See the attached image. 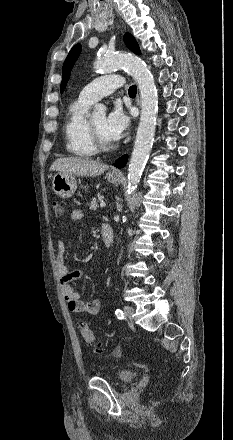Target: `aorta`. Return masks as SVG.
<instances>
[{"label":"aorta","instance_id":"obj_1","mask_svg":"<svg viewBox=\"0 0 233 440\" xmlns=\"http://www.w3.org/2000/svg\"><path fill=\"white\" fill-rule=\"evenodd\" d=\"M95 69L101 73L124 69L134 78L139 87L141 116L128 169V194H130L140 181L154 140L158 109L154 78L147 65L131 54L99 57L95 62ZM105 112V106L96 105L93 114L105 115Z\"/></svg>","mask_w":233,"mask_h":440}]
</instances>
